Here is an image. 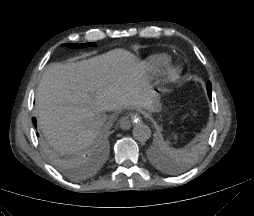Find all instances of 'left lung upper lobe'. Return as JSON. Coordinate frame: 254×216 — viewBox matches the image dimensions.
Listing matches in <instances>:
<instances>
[{
  "mask_svg": "<svg viewBox=\"0 0 254 216\" xmlns=\"http://www.w3.org/2000/svg\"><path fill=\"white\" fill-rule=\"evenodd\" d=\"M211 90V84L207 83V91ZM208 94H210V92H208Z\"/></svg>",
  "mask_w": 254,
  "mask_h": 216,
  "instance_id": "1",
  "label": "left lung upper lobe"
}]
</instances>
